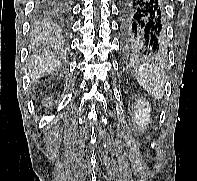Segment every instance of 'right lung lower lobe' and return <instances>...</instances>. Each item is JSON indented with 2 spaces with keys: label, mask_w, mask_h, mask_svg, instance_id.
I'll return each instance as SVG.
<instances>
[{
  "label": "right lung lower lobe",
  "mask_w": 197,
  "mask_h": 181,
  "mask_svg": "<svg viewBox=\"0 0 197 181\" xmlns=\"http://www.w3.org/2000/svg\"><path fill=\"white\" fill-rule=\"evenodd\" d=\"M40 13L43 17L67 26L69 23L70 0H39Z\"/></svg>",
  "instance_id": "obj_1"
}]
</instances>
